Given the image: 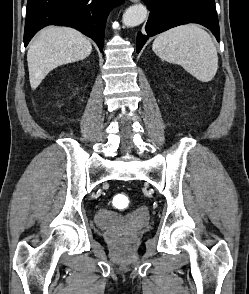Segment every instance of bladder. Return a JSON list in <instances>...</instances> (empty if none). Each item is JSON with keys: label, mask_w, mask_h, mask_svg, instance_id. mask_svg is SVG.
I'll return each instance as SVG.
<instances>
[{"label": "bladder", "mask_w": 249, "mask_h": 294, "mask_svg": "<svg viewBox=\"0 0 249 294\" xmlns=\"http://www.w3.org/2000/svg\"><path fill=\"white\" fill-rule=\"evenodd\" d=\"M96 220L97 222L104 224V225H110L117 221V219L111 215H106L103 212L96 214Z\"/></svg>", "instance_id": "31cf9c89"}]
</instances>
